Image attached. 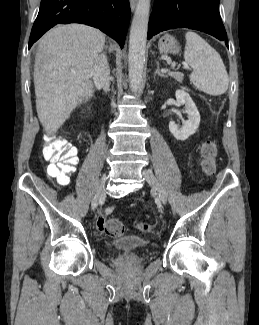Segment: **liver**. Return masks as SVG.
Instances as JSON below:
<instances>
[{
    "label": "liver",
    "mask_w": 259,
    "mask_h": 325,
    "mask_svg": "<svg viewBox=\"0 0 259 325\" xmlns=\"http://www.w3.org/2000/svg\"><path fill=\"white\" fill-rule=\"evenodd\" d=\"M104 45L101 31L75 23L58 25L40 40L34 86L37 115L47 135L58 131L83 97H92L91 72Z\"/></svg>",
    "instance_id": "obj_1"
}]
</instances>
